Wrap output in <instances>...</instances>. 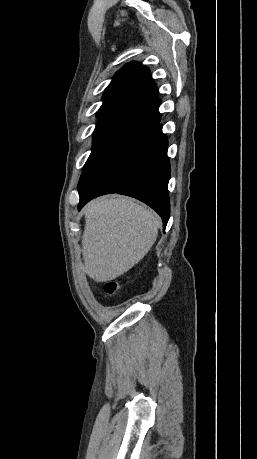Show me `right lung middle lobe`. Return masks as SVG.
Returning a JSON list of instances; mask_svg holds the SVG:
<instances>
[{"label": "right lung middle lobe", "mask_w": 257, "mask_h": 459, "mask_svg": "<svg viewBox=\"0 0 257 459\" xmlns=\"http://www.w3.org/2000/svg\"><path fill=\"white\" fill-rule=\"evenodd\" d=\"M133 114L125 110H111L97 113L98 124L94 130L93 148L84 168L107 147L121 125Z\"/></svg>", "instance_id": "obj_1"}]
</instances>
